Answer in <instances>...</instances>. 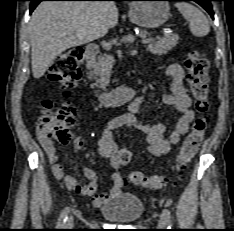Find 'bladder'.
Instances as JSON below:
<instances>
[{
    "instance_id": "1",
    "label": "bladder",
    "mask_w": 234,
    "mask_h": 231,
    "mask_svg": "<svg viewBox=\"0 0 234 231\" xmlns=\"http://www.w3.org/2000/svg\"><path fill=\"white\" fill-rule=\"evenodd\" d=\"M144 210L143 202L130 193H120L100 208L106 219L117 223L136 221L142 217Z\"/></svg>"
}]
</instances>
